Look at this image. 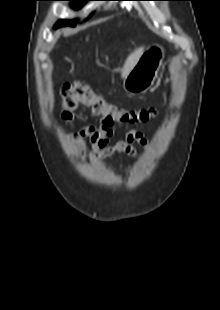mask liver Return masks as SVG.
I'll return each instance as SVG.
<instances>
[{"instance_id":"6515ba94","label":"liver","mask_w":220,"mask_h":310,"mask_svg":"<svg viewBox=\"0 0 220 310\" xmlns=\"http://www.w3.org/2000/svg\"><path fill=\"white\" fill-rule=\"evenodd\" d=\"M143 52H144V47H139L138 49H135V51L127 57L124 65H123V68L121 70V77L123 79H125L127 77V75L130 73V71L136 65V63L140 59Z\"/></svg>"}]
</instances>
